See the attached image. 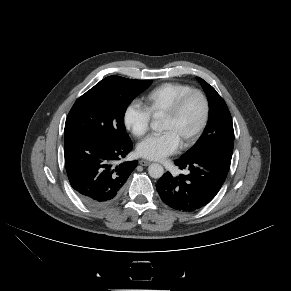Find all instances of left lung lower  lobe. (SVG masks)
Here are the masks:
<instances>
[{
    "instance_id": "0a47b994",
    "label": "left lung lower lobe",
    "mask_w": 291,
    "mask_h": 291,
    "mask_svg": "<svg viewBox=\"0 0 291 291\" xmlns=\"http://www.w3.org/2000/svg\"><path fill=\"white\" fill-rule=\"evenodd\" d=\"M232 156L207 153L180 158L175 164L187 174L165 173L157 183L162 201L169 207L192 212L208 204L219 192L228 174Z\"/></svg>"
}]
</instances>
